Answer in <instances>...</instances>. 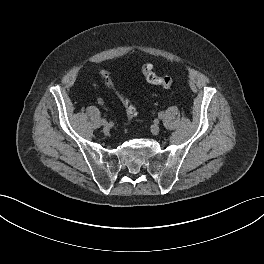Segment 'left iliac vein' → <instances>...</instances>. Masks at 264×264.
I'll return each instance as SVG.
<instances>
[{"label":"left iliac vein","mask_w":264,"mask_h":264,"mask_svg":"<svg viewBox=\"0 0 264 264\" xmlns=\"http://www.w3.org/2000/svg\"><path fill=\"white\" fill-rule=\"evenodd\" d=\"M160 131V127L158 124H154L151 126V132L154 134V135H157Z\"/></svg>","instance_id":"obj_1"}]
</instances>
